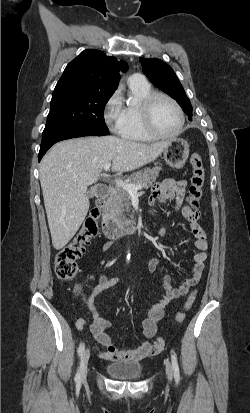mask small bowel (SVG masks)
<instances>
[{
  "label": "small bowel",
  "mask_w": 250,
  "mask_h": 413,
  "mask_svg": "<svg viewBox=\"0 0 250 413\" xmlns=\"http://www.w3.org/2000/svg\"><path fill=\"white\" fill-rule=\"evenodd\" d=\"M185 188V181H177L171 178L165 179L163 182L152 188L150 202L153 204L156 201L174 200L175 203H178L181 198L186 195ZM182 215L190 223L189 231L195 238L193 246L198 252L195 253L192 258L193 264L190 277L181 281L179 286H173L171 277L169 275H164L163 288L165 292L155 304L149 307L147 316L142 322L143 334L147 339L146 341L132 348H117L111 336L105 332V330L110 327L111 323L100 316L94 304V298L99 293L115 285L119 281L118 277L108 279L105 275H101L92 294L87 298L86 306L93 318L90 330L97 342L103 347L102 350H98V355L101 359L111 361H137L161 352V350L155 348L154 343L150 340L157 332L158 323L164 316V309L171 301L184 296L191 287L198 284L204 269V262L207 258L206 251L209 246L207 234L198 223L200 212L198 210H193L189 205H186L182 209ZM166 231V227L160 228L158 232L159 236L163 237L166 234ZM109 246L110 245L108 244L106 248H109ZM158 269L159 259L152 258L148 263V271L154 273ZM85 325L86 321L84 319H79L76 322V327L79 330H82Z\"/></svg>",
  "instance_id": "small-bowel-1"
}]
</instances>
